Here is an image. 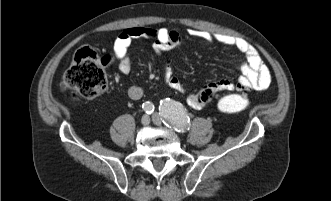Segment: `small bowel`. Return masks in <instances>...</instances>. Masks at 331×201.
Segmentation results:
<instances>
[{
    "instance_id": "obj_1",
    "label": "small bowel",
    "mask_w": 331,
    "mask_h": 201,
    "mask_svg": "<svg viewBox=\"0 0 331 201\" xmlns=\"http://www.w3.org/2000/svg\"><path fill=\"white\" fill-rule=\"evenodd\" d=\"M188 34L209 43L216 42L234 47L244 57L239 67L240 76L236 81L221 79L206 84L195 93L188 94L187 103L192 108L199 109L204 107L216 93L221 91H240L242 89L263 91L269 87L271 75L268 67L262 61L257 50L244 39L197 29H189ZM135 39L152 40L157 52L169 50L182 42V37L179 33L167 28L136 26L123 29L113 44V54L118 61L119 70L123 74H128L131 71L129 48ZM163 78L165 83L172 89L186 93L185 87L173 73L172 67L167 60L164 63ZM143 93L142 87L136 84L130 85L127 90V94L132 100H139Z\"/></svg>"
}]
</instances>
